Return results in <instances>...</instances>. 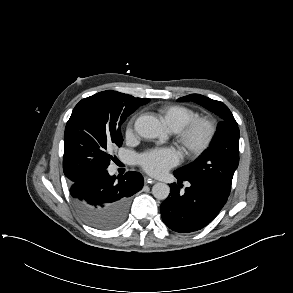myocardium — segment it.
Listing matches in <instances>:
<instances>
[{
	"label": "myocardium",
	"instance_id": "f54148a6",
	"mask_svg": "<svg viewBox=\"0 0 293 293\" xmlns=\"http://www.w3.org/2000/svg\"><path fill=\"white\" fill-rule=\"evenodd\" d=\"M216 123L207 116H197L175 133V139L188 157H198L212 144L216 135ZM201 132L199 140L195 135Z\"/></svg>",
	"mask_w": 293,
	"mask_h": 293
}]
</instances>
